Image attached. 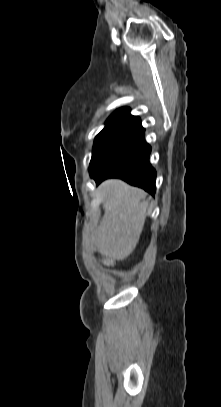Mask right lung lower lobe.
<instances>
[{
  "mask_svg": "<svg viewBox=\"0 0 221 407\" xmlns=\"http://www.w3.org/2000/svg\"><path fill=\"white\" fill-rule=\"evenodd\" d=\"M144 128H140L107 162L93 178L98 185L107 178H121L131 185L138 186L155 194L156 171L150 165L151 147L144 139Z\"/></svg>",
  "mask_w": 221,
  "mask_h": 407,
  "instance_id": "right-lung-lower-lobe-1",
  "label": "right lung lower lobe"
}]
</instances>
